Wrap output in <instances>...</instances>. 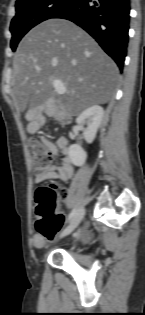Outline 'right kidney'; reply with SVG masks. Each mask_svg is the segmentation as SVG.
Returning a JSON list of instances; mask_svg holds the SVG:
<instances>
[{
  "instance_id": "right-kidney-1",
  "label": "right kidney",
  "mask_w": 145,
  "mask_h": 315,
  "mask_svg": "<svg viewBox=\"0 0 145 315\" xmlns=\"http://www.w3.org/2000/svg\"><path fill=\"white\" fill-rule=\"evenodd\" d=\"M104 110L99 105H93L85 109L76 119L78 127L83 130V136L87 143H92L96 137L98 128L101 125ZM87 123V127L83 125ZM69 158L75 166H82L87 158L86 152L78 144L69 147Z\"/></svg>"
}]
</instances>
